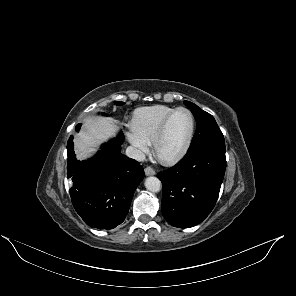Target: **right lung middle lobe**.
<instances>
[{
  "mask_svg": "<svg viewBox=\"0 0 296 296\" xmlns=\"http://www.w3.org/2000/svg\"><path fill=\"white\" fill-rule=\"evenodd\" d=\"M115 104H116V105H123L124 102H118V101H115ZM104 115H106V114H104Z\"/></svg>",
  "mask_w": 296,
  "mask_h": 296,
  "instance_id": "dd1d6c3e",
  "label": "right lung middle lobe"
}]
</instances>
